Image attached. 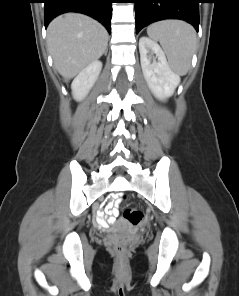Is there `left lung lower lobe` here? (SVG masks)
Returning a JSON list of instances; mask_svg holds the SVG:
<instances>
[{"instance_id": "left-lung-lower-lobe-1", "label": "left lung lower lobe", "mask_w": 239, "mask_h": 296, "mask_svg": "<svg viewBox=\"0 0 239 296\" xmlns=\"http://www.w3.org/2000/svg\"><path fill=\"white\" fill-rule=\"evenodd\" d=\"M136 13V33L146 25L162 19H181L198 32L200 0H133Z\"/></svg>"}]
</instances>
